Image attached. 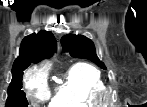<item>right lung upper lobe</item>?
Returning a JSON list of instances; mask_svg holds the SVG:
<instances>
[{
    "label": "right lung upper lobe",
    "instance_id": "right-lung-upper-lobe-1",
    "mask_svg": "<svg viewBox=\"0 0 147 107\" xmlns=\"http://www.w3.org/2000/svg\"><path fill=\"white\" fill-rule=\"evenodd\" d=\"M56 49L57 42L51 32L41 30L26 36L21 42L19 56L14 61L12 75L15 76L26 65L52 57Z\"/></svg>",
    "mask_w": 147,
    "mask_h": 107
}]
</instances>
